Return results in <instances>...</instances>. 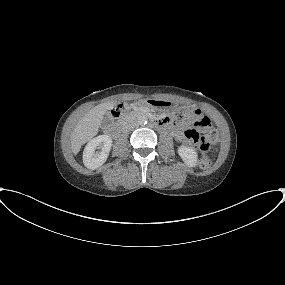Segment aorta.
<instances>
[{
	"mask_svg": "<svg viewBox=\"0 0 285 285\" xmlns=\"http://www.w3.org/2000/svg\"><path fill=\"white\" fill-rule=\"evenodd\" d=\"M137 122H138L140 125L146 124V123H147V117L144 116V115H141V116L138 117Z\"/></svg>",
	"mask_w": 285,
	"mask_h": 285,
	"instance_id": "762f6f07",
	"label": "aorta"
}]
</instances>
